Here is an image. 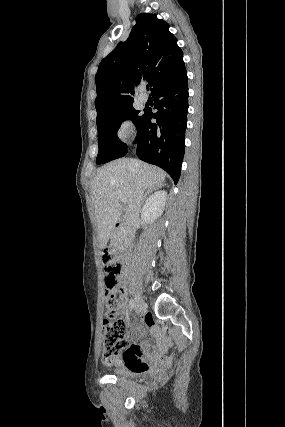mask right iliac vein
<instances>
[{"mask_svg": "<svg viewBox=\"0 0 285 427\" xmlns=\"http://www.w3.org/2000/svg\"><path fill=\"white\" fill-rule=\"evenodd\" d=\"M146 309V304L144 300L138 295L136 297V314H140Z\"/></svg>", "mask_w": 285, "mask_h": 427, "instance_id": "obj_1", "label": "right iliac vein"}]
</instances>
